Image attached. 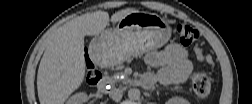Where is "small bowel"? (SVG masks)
Here are the masks:
<instances>
[{"label":"small bowel","mask_w":252,"mask_h":104,"mask_svg":"<svg viewBox=\"0 0 252 104\" xmlns=\"http://www.w3.org/2000/svg\"><path fill=\"white\" fill-rule=\"evenodd\" d=\"M145 60L149 66L160 68L157 72L144 76L150 80L151 85L156 81L163 85L183 84L192 72L187 49L177 43H171L161 51L148 53Z\"/></svg>","instance_id":"small-bowel-1"}]
</instances>
